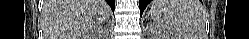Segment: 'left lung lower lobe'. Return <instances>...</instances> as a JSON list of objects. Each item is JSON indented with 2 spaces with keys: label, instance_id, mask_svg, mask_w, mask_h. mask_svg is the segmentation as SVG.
Instances as JSON below:
<instances>
[{
  "label": "left lung lower lobe",
  "instance_id": "1",
  "mask_svg": "<svg viewBox=\"0 0 249 39\" xmlns=\"http://www.w3.org/2000/svg\"><path fill=\"white\" fill-rule=\"evenodd\" d=\"M151 0H139V7H140V13L142 15L144 9L146 8L147 4L150 2Z\"/></svg>",
  "mask_w": 249,
  "mask_h": 39
}]
</instances>
